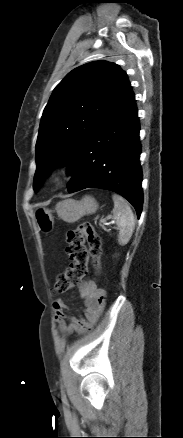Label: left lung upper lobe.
Masks as SVG:
<instances>
[{
    "label": "left lung upper lobe",
    "instance_id": "left-lung-upper-lobe-1",
    "mask_svg": "<svg viewBox=\"0 0 183 438\" xmlns=\"http://www.w3.org/2000/svg\"><path fill=\"white\" fill-rule=\"evenodd\" d=\"M132 93L118 65L95 61L72 70L46 105L36 142V190L56 166L66 165L80 145Z\"/></svg>",
    "mask_w": 183,
    "mask_h": 438
}]
</instances>
